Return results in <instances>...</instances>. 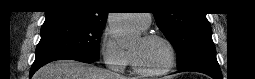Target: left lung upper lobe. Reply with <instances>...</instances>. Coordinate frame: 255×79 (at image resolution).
Listing matches in <instances>:
<instances>
[{
	"mask_svg": "<svg viewBox=\"0 0 255 79\" xmlns=\"http://www.w3.org/2000/svg\"><path fill=\"white\" fill-rule=\"evenodd\" d=\"M167 2L154 14L156 23L178 54V68L192 63L216 60L212 30L206 14L197 11H167Z\"/></svg>",
	"mask_w": 255,
	"mask_h": 79,
	"instance_id": "1",
	"label": "left lung upper lobe"
}]
</instances>
